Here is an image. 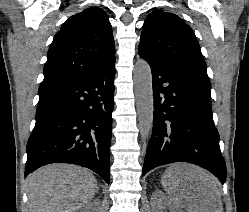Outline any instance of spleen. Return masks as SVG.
I'll list each match as a JSON object with an SVG mask.
<instances>
[{"label":"spleen","instance_id":"1","mask_svg":"<svg viewBox=\"0 0 249 212\" xmlns=\"http://www.w3.org/2000/svg\"><path fill=\"white\" fill-rule=\"evenodd\" d=\"M171 174H172L171 168H168V170H166L165 174H163L162 184H163V188H165L166 192H168V178H170ZM171 192H172V188H171Z\"/></svg>","mask_w":249,"mask_h":212}]
</instances>
